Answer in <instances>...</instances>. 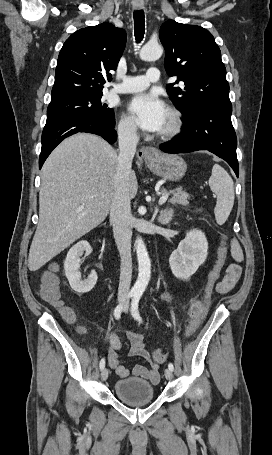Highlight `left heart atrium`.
<instances>
[{
    "label": "left heart atrium",
    "instance_id": "39dd6f15",
    "mask_svg": "<svg viewBox=\"0 0 272 455\" xmlns=\"http://www.w3.org/2000/svg\"><path fill=\"white\" fill-rule=\"evenodd\" d=\"M128 111L145 131L161 132L167 119L165 103L155 93H140L128 103Z\"/></svg>",
    "mask_w": 272,
    "mask_h": 455
}]
</instances>
